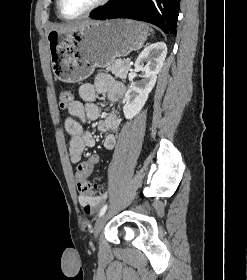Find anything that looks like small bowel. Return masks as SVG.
I'll use <instances>...</instances> for the list:
<instances>
[{"label": "small bowel", "instance_id": "obj_1", "mask_svg": "<svg viewBox=\"0 0 247 280\" xmlns=\"http://www.w3.org/2000/svg\"><path fill=\"white\" fill-rule=\"evenodd\" d=\"M81 100L74 101L69 107V117L65 120L64 127L69 135V158L72 163L81 161L83 152L95 145V140L90 132L84 131L83 124L86 120H98L97 128L106 135L103 147L106 150L114 148L116 133L120 128V118L109 113L102 116L101 109L96 104L99 94H105L108 99L116 103L120 101L125 93L123 83L116 81L108 73H98L92 83H84L78 89ZM104 198L102 196L82 195L79 202L87 213L100 205Z\"/></svg>", "mask_w": 247, "mask_h": 280}]
</instances>
